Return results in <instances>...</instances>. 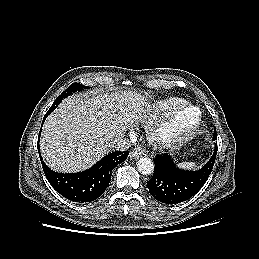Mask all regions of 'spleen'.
<instances>
[{
  "label": "spleen",
  "instance_id": "obj_1",
  "mask_svg": "<svg viewBox=\"0 0 259 259\" xmlns=\"http://www.w3.org/2000/svg\"><path fill=\"white\" fill-rule=\"evenodd\" d=\"M178 167L186 169H195L197 167V164L195 162H182L178 164Z\"/></svg>",
  "mask_w": 259,
  "mask_h": 259
}]
</instances>
